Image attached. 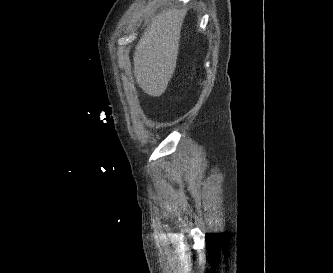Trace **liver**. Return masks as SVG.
I'll use <instances>...</instances> for the list:
<instances>
[{
	"label": "liver",
	"instance_id": "obj_1",
	"mask_svg": "<svg viewBox=\"0 0 333 273\" xmlns=\"http://www.w3.org/2000/svg\"><path fill=\"white\" fill-rule=\"evenodd\" d=\"M182 21L181 11L164 10L152 18L135 47V79L150 96H161L174 73Z\"/></svg>",
	"mask_w": 333,
	"mask_h": 273
}]
</instances>
